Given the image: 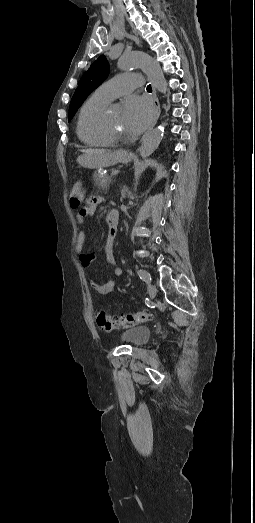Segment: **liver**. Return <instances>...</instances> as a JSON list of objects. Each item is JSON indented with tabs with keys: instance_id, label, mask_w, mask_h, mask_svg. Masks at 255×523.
Segmentation results:
<instances>
[{
	"instance_id": "liver-1",
	"label": "liver",
	"mask_w": 255,
	"mask_h": 523,
	"mask_svg": "<svg viewBox=\"0 0 255 523\" xmlns=\"http://www.w3.org/2000/svg\"><path fill=\"white\" fill-rule=\"evenodd\" d=\"M81 152H84L83 156H85L87 160H91V162H96L99 156L107 154L106 150H92V148H89V150H81Z\"/></svg>"
}]
</instances>
